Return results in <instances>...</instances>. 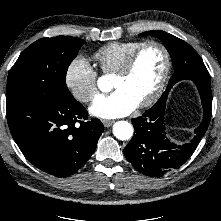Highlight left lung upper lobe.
Masks as SVG:
<instances>
[{"label": "left lung upper lobe", "instance_id": "obj_1", "mask_svg": "<svg viewBox=\"0 0 221 221\" xmlns=\"http://www.w3.org/2000/svg\"><path fill=\"white\" fill-rule=\"evenodd\" d=\"M153 36L160 39L170 53L174 74L167 88L183 79L210 83V75L198 53L183 40L164 31H147L140 36Z\"/></svg>", "mask_w": 221, "mask_h": 221}]
</instances>
